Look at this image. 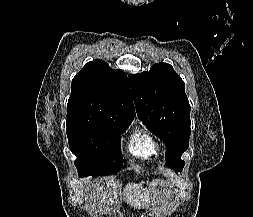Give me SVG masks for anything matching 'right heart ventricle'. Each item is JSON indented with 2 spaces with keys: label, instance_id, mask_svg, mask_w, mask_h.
Wrapping results in <instances>:
<instances>
[{
  "label": "right heart ventricle",
  "instance_id": "e07e8e85",
  "mask_svg": "<svg viewBox=\"0 0 253 217\" xmlns=\"http://www.w3.org/2000/svg\"><path fill=\"white\" fill-rule=\"evenodd\" d=\"M128 150L137 158L151 160L159 156L160 146L157 140L146 130L138 129L129 137Z\"/></svg>",
  "mask_w": 253,
  "mask_h": 217
}]
</instances>
